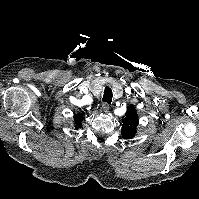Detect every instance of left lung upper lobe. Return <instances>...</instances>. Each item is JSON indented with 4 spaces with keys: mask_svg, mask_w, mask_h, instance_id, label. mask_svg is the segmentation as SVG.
Masks as SVG:
<instances>
[{
    "mask_svg": "<svg viewBox=\"0 0 199 199\" xmlns=\"http://www.w3.org/2000/svg\"><path fill=\"white\" fill-rule=\"evenodd\" d=\"M122 131L123 138L130 139L135 136L136 129L138 126V116L136 109L133 106H128L127 112L122 120Z\"/></svg>",
    "mask_w": 199,
    "mask_h": 199,
    "instance_id": "left-lung-upper-lobe-1",
    "label": "left lung upper lobe"
}]
</instances>
